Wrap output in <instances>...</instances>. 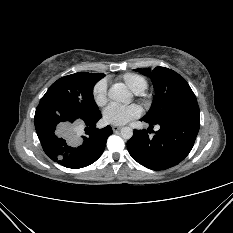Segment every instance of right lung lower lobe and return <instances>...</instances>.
Masks as SVG:
<instances>
[{"label":"right lung lower lobe","mask_w":233,"mask_h":233,"mask_svg":"<svg viewBox=\"0 0 233 233\" xmlns=\"http://www.w3.org/2000/svg\"><path fill=\"white\" fill-rule=\"evenodd\" d=\"M101 117V113H98L89 118H75L44 103L38 105L34 123L44 152L58 164L77 169L95 162L112 134L110 126L100 130L95 128ZM78 122L85 123L91 129L87 136H76L73 126Z\"/></svg>","instance_id":"obj_1"}]
</instances>
